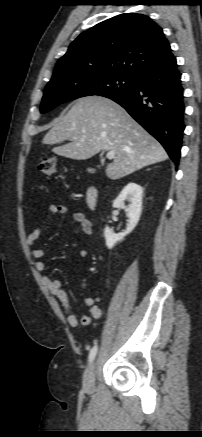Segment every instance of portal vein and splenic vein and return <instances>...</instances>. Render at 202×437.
I'll return each instance as SVG.
<instances>
[{
  "instance_id": "1",
  "label": "portal vein and splenic vein",
  "mask_w": 202,
  "mask_h": 437,
  "mask_svg": "<svg viewBox=\"0 0 202 437\" xmlns=\"http://www.w3.org/2000/svg\"><path fill=\"white\" fill-rule=\"evenodd\" d=\"M81 140H83V139H81ZM106 157H107V159H109V160L114 159V157H115V152H114V151H109V152L107 153Z\"/></svg>"
}]
</instances>
